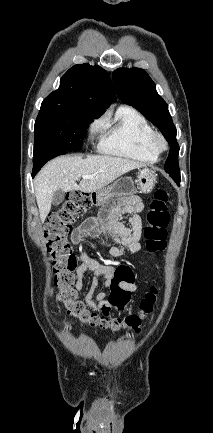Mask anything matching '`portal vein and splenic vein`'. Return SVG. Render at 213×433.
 <instances>
[{
	"label": "portal vein and splenic vein",
	"mask_w": 213,
	"mask_h": 433,
	"mask_svg": "<svg viewBox=\"0 0 213 433\" xmlns=\"http://www.w3.org/2000/svg\"><path fill=\"white\" fill-rule=\"evenodd\" d=\"M92 177H93V175H83V176H82L83 179H90V178H92Z\"/></svg>",
	"instance_id": "obj_1"
}]
</instances>
